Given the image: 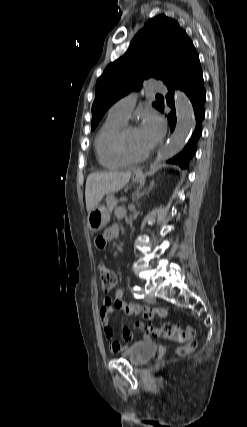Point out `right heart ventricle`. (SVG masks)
I'll return each instance as SVG.
<instances>
[{
  "label": "right heart ventricle",
  "mask_w": 247,
  "mask_h": 427,
  "mask_svg": "<svg viewBox=\"0 0 247 427\" xmlns=\"http://www.w3.org/2000/svg\"><path fill=\"white\" fill-rule=\"evenodd\" d=\"M125 120L109 116L99 128L94 139V150L99 165L108 170H115L127 165L117 153L116 139Z\"/></svg>",
  "instance_id": "right-heart-ventricle-1"
}]
</instances>
